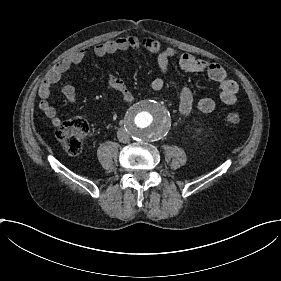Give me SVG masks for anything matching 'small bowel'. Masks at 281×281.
I'll list each match as a JSON object with an SVG mask.
<instances>
[{
    "mask_svg": "<svg viewBox=\"0 0 281 281\" xmlns=\"http://www.w3.org/2000/svg\"><path fill=\"white\" fill-rule=\"evenodd\" d=\"M145 49L158 53L157 66L161 74L170 71V63L176 60L177 66L188 72H206L215 82L220 84V98L226 105H234L237 100L239 85L236 81L227 77L226 71L218 64L206 60L198 59L190 54L178 55L174 48L163 49L161 43L152 38H140L136 36H122L104 41L98 45L84 47L59 62L51 73L43 81L39 92V108L53 127L63 125L62 118L57 114L55 108L50 103V96L54 86L62 79L63 75L73 66L94 56H104L117 51ZM165 82L161 77L152 80L151 87L155 91L164 88ZM108 89L121 96L125 102L133 100V94L125 82L113 75H107ZM65 99L70 104L77 101L76 88L72 84H66L62 88ZM179 107L183 115L189 114L192 109V92L187 84H182L179 89ZM214 97L206 96L199 100L198 107L204 112H211L216 108Z\"/></svg>",
    "mask_w": 281,
    "mask_h": 281,
    "instance_id": "1",
    "label": "small bowel"
}]
</instances>
